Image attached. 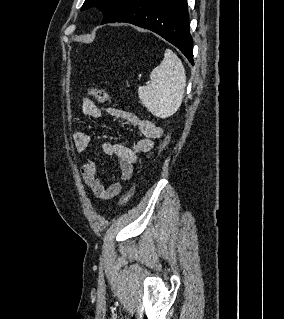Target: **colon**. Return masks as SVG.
Wrapping results in <instances>:
<instances>
[{
	"mask_svg": "<svg viewBox=\"0 0 284 319\" xmlns=\"http://www.w3.org/2000/svg\"><path fill=\"white\" fill-rule=\"evenodd\" d=\"M89 94L95 98L97 101L101 103H108L110 102V96L107 93L106 90L99 88V87H91L89 89ZM168 138L165 137L162 146H165L167 143ZM134 193V186H132L130 189H128L120 198L118 204L119 206L125 205L133 196Z\"/></svg>",
	"mask_w": 284,
	"mask_h": 319,
	"instance_id": "5ec220e1",
	"label": "colon"
}]
</instances>
